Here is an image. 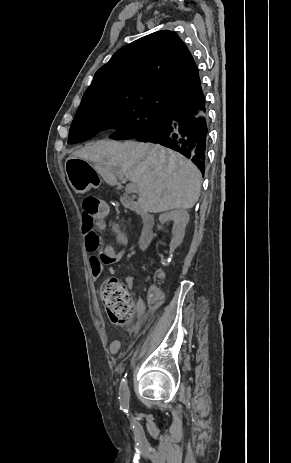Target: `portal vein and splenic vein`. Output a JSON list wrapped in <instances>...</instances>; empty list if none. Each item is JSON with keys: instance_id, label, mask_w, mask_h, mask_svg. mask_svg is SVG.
Listing matches in <instances>:
<instances>
[{"instance_id": "1", "label": "portal vein and splenic vein", "mask_w": 291, "mask_h": 463, "mask_svg": "<svg viewBox=\"0 0 291 463\" xmlns=\"http://www.w3.org/2000/svg\"><path fill=\"white\" fill-rule=\"evenodd\" d=\"M117 176L120 178V179H123L124 180V174L120 171H117ZM125 181V180H124ZM126 192L127 193H130V194H134V193H137L138 190L136 188V185L134 183H128L126 184V188H125Z\"/></svg>"}]
</instances>
